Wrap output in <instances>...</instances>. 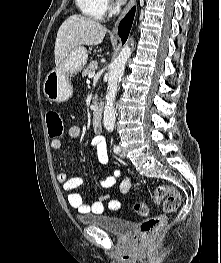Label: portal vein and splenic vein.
<instances>
[{
	"label": "portal vein and splenic vein",
	"mask_w": 221,
	"mask_h": 263,
	"mask_svg": "<svg viewBox=\"0 0 221 263\" xmlns=\"http://www.w3.org/2000/svg\"><path fill=\"white\" fill-rule=\"evenodd\" d=\"M94 76H95V73H94V72H92V73H90V74L88 75L89 78H93Z\"/></svg>",
	"instance_id": "18ae733b"
}]
</instances>
